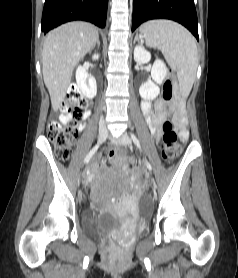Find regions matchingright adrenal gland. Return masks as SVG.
Wrapping results in <instances>:
<instances>
[{
	"label": "right adrenal gland",
	"instance_id": "1",
	"mask_svg": "<svg viewBox=\"0 0 238 278\" xmlns=\"http://www.w3.org/2000/svg\"><path fill=\"white\" fill-rule=\"evenodd\" d=\"M96 44L99 46V44H100L99 38L97 39V41H96V43L94 44L93 48L95 47Z\"/></svg>",
	"mask_w": 238,
	"mask_h": 278
}]
</instances>
